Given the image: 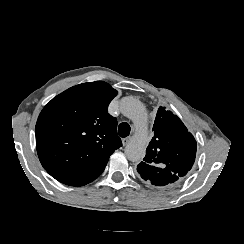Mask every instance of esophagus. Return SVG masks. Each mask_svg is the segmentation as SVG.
<instances>
[{
	"mask_svg": "<svg viewBox=\"0 0 244 244\" xmlns=\"http://www.w3.org/2000/svg\"><path fill=\"white\" fill-rule=\"evenodd\" d=\"M130 141H131V137H130V136L124 138V139L122 140V144H123V146L128 145Z\"/></svg>",
	"mask_w": 244,
	"mask_h": 244,
	"instance_id": "1",
	"label": "esophagus"
}]
</instances>
